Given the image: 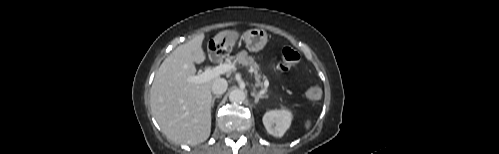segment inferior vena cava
<instances>
[{
	"label": "inferior vena cava",
	"instance_id": "inferior-vena-cava-1",
	"mask_svg": "<svg viewBox=\"0 0 499 154\" xmlns=\"http://www.w3.org/2000/svg\"><path fill=\"white\" fill-rule=\"evenodd\" d=\"M227 87H228L227 81L223 78H218L212 84L211 89L213 94L221 95L226 92Z\"/></svg>",
	"mask_w": 499,
	"mask_h": 154
}]
</instances>
